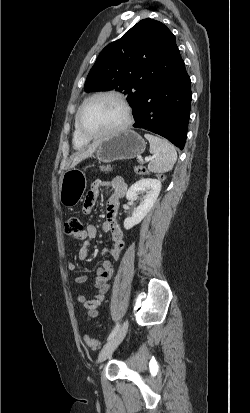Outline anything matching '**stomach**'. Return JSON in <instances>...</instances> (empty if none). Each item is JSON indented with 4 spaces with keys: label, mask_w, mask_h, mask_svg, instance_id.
<instances>
[{
    "label": "stomach",
    "mask_w": 250,
    "mask_h": 413,
    "mask_svg": "<svg viewBox=\"0 0 250 413\" xmlns=\"http://www.w3.org/2000/svg\"><path fill=\"white\" fill-rule=\"evenodd\" d=\"M145 148L146 142L138 133L126 130L100 140L95 157L104 163L133 159L139 157ZM86 185L83 172L76 169L66 171L62 176L59 189L61 204L68 208L74 207L81 200Z\"/></svg>",
    "instance_id": "0dacf381"
}]
</instances>
